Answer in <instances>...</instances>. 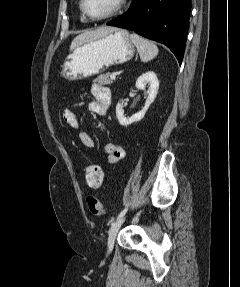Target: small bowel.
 <instances>
[{
    "mask_svg": "<svg viewBox=\"0 0 240 287\" xmlns=\"http://www.w3.org/2000/svg\"><path fill=\"white\" fill-rule=\"evenodd\" d=\"M91 93L93 95V100L89 102L88 109L94 114L105 116L112 102L110 89L99 83H94L91 87ZM62 119L71 128H80V121L77 115L70 109L63 110ZM79 137L86 147L91 148L94 146L92 136L86 131H81ZM104 151L106 153V163L109 165L118 163L126 155L125 149L121 145L113 142H107L104 145Z\"/></svg>",
    "mask_w": 240,
    "mask_h": 287,
    "instance_id": "obj_1",
    "label": "small bowel"
}]
</instances>
